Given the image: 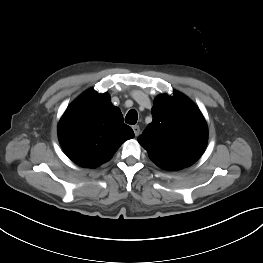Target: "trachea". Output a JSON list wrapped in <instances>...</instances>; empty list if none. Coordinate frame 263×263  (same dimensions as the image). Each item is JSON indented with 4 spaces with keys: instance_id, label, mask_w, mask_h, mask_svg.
I'll return each mask as SVG.
<instances>
[{
    "instance_id": "3493384b",
    "label": "trachea",
    "mask_w": 263,
    "mask_h": 263,
    "mask_svg": "<svg viewBox=\"0 0 263 263\" xmlns=\"http://www.w3.org/2000/svg\"><path fill=\"white\" fill-rule=\"evenodd\" d=\"M137 119H138V114H137L136 110L132 109L127 113V115L125 117V122L127 124L134 125V124H136Z\"/></svg>"
}]
</instances>
